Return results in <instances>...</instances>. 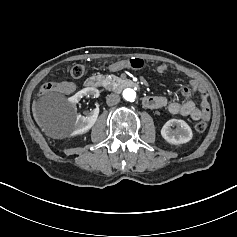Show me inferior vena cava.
I'll return each instance as SVG.
<instances>
[{
	"instance_id": "obj_1",
	"label": "inferior vena cava",
	"mask_w": 237,
	"mask_h": 237,
	"mask_svg": "<svg viewBox=\"0 0 237 237\" xmlns=\"http://www.w3.org/2000/svg\"><path fill=\"white\" fill-rule=\"evenodd\" d=\"M106 102L109 106L116 105L120 102V96L118 94H110L107 96Z\"/></svg>"
}]
</instances>
